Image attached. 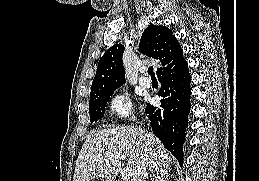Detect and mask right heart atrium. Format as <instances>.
<instances>
[{"mask_svg":"<svg viewBox=\"0 0 259 181\" xmlns=\"http://www.w3.org/2000/svg\"><path fill=\"white\" fill-rule=\"evenodd\" d=\"M108 111L111 116L118 119H126L133 113V103L130 96L124 92H117L108 102Z\"/></svg>","mask_w":259,"mask_h":181,"instance_id":"1","label":"right heart atrium"}]
</instances>
